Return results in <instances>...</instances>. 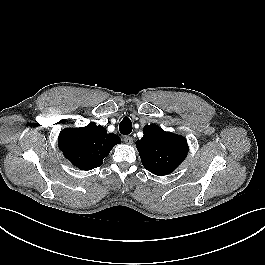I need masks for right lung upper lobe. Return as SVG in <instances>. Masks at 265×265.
<instances>
[{"label":"right lung upper lobe","mask_w":265,"mask_h":265,"mask_svg":"<svg viewBox=\"0 0 265 265\" xmlns=\"http://www.w3.org/2000/svg\"><path fill=\"white\" fill-rule=\"evenodd\" d=\"M119 143L121 139L116 134H108L103 126L94 123L82 128H66L58 138L64 156L82 170L101 166L111 149Z\"/></svg>","instance_id":"cb5924a9"}]
</instances>
